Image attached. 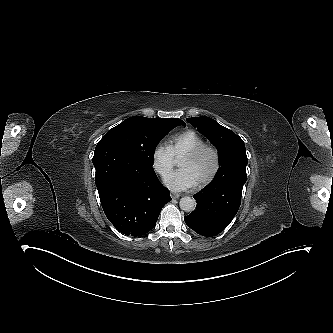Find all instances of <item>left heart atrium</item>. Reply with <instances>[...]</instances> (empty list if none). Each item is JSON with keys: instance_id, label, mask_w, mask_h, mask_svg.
Masks as SVG:
<instances>
[{"instance_id": "left-heart-atrium-1", "label": "left heart atrium", "mask_w": 333, "mask_h": 333, "mask_svg": "<svg viewBox=\"0 0 333 333\" xmlns=\"http://www.w3.org/2000/svg\"><path fill=\"white\" fill-rule=\"evenodd\" d=\"M165 185L176 191L186 190L194 185V179L186 169H179L164 178Z\"/></svg>"}]
</instances>
